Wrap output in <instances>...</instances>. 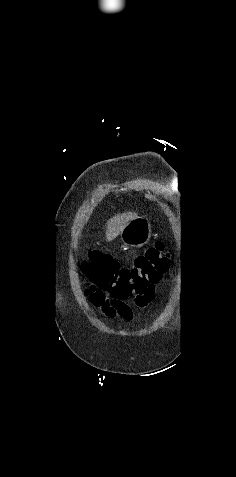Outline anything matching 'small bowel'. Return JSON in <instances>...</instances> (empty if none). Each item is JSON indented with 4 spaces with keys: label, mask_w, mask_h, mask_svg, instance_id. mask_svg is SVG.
Instances as JSON below:
<instances>
[{
    "label": "small bowel",
    "mask_w": 236,
    "mask_h": 477,
    "mask_svg": "<svg viewBox=\"0 0 236 477\" xmlns=\"http://www.w3.org/2000/svg\"><path fill=\"white\" fill-rule=\"evenodd\" d=\"M152 297H153V292L146 295L144 301L141 304H139L138 306L145 307L151 301ZM102 309L106 313V315H108L110 317H114V316H116V314H120L125 319H130L131 318V311L130 310L125 312V313H121L109 304L103 305Z\"/></svg>",
    "instance_id": "1"
}]
</instances>
